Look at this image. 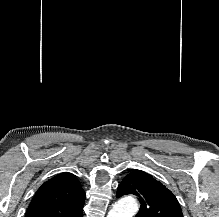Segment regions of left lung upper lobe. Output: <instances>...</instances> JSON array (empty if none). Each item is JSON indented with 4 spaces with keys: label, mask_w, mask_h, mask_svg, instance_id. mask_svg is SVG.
Returning a JSON list of instances; mask_svg holds the SVG:
<instances>
[{
    "label": "left lung upper lobe",
    "mask_w": 219,
    "mask_h": 217,
    "mask_svg": "<svg viewBox=\"0 0 219 217\" xmlns=\"http://www.w3.org/2000/svg\"><path fill=\"white\" fill-rule=\"evenodd\" d=\"M127 194L136 195L141 203L136 217H183L175 195L146 172L134 170L123 179L116 197Z\"/></svg>",
    "instance_id": "left-lung-upper-lobe-1"
}]
</instances>
